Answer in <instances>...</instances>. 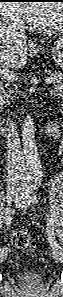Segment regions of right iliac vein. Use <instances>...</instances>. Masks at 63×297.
Wrapping results in <instances>:
<instances>
[{
	"instance_id": "right-iliac-vein-1",
	"label": "right iliac vein",
	"mask_w": 63,
	"mask_h": 297,
	"mask_svg": "<svg viewBox=\"0 0 63 297\" xmlns=\"http://www.w3.org/2000/svg\"><path fill=\"white\" fill-rule=\"evenodd\" d=\"M7 254H8V252H3V253L0 254V260L2 262L6 260Z\"/></svg>"
}]
</instances>
